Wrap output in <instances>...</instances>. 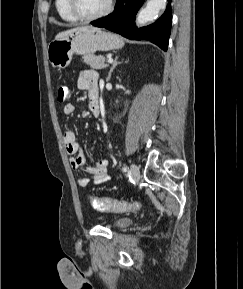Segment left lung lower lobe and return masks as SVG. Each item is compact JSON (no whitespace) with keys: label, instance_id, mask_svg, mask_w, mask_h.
<instances>
[{"label":"left lung lower lobe","instance_id":"0a47b994","mask_svg":"<svg viewBox=\"0 0 243 289\" xmlns=\"http://www.w3.org/2000/svg\"><path fill=\"white\" fill-rule=\"evenodd\" d=\"M143 2L144 0H117L115 10L111 14L92 21L91 24L131 40L150 41L166 51L171 29V7L168 5L164 14L155 23L138 29L134 20Z\"/></svg>","mask_w":243,"mask_h":289}]
</instances>
